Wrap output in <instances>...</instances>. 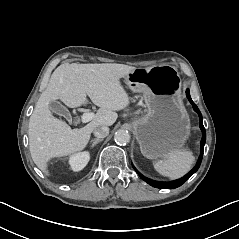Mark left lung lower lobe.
I'll list each match as a JSON object with an SVG mask.
<instances>
[{
    "mask_svg": "<svg viewBox=\"0 0 239 239\" xmlns=\"http://www.w3.org/2000/svg\"><path fill=\"white\" fill-rule=\"evenodd\" d=\"M186 95H187L188 100H189L190 103L192 104L193 109H194L195 112H197L198 115H199L200 128H201V131H202L201 153H200L199 160H198L196 166L194 167V169H192L187 175H185V176L182 177L181 179H178V180L172 181V182H158V181H154V180L148 179V178L144 177L143 175H141V174L135 169V170L137 171L138 175H139L145 182H147L148 184H150V185L153 186V187L160 188V189H174V188H177V187L181 186L186 180H188V179L198 170V168L200 167V164H201V161H202V157H203L204 145H205V142H206V131H205V128H204V126H203L201 112L199 111L198 107H197V106L194 104V102L192 101L188 89H187V91H186Z\"/></svg>",
    "mask_w": 239,
    "mask_h": 239,
    "instance_id": "0a47b994",
    "label": "left lung lower lobe"
}]
</instances>
